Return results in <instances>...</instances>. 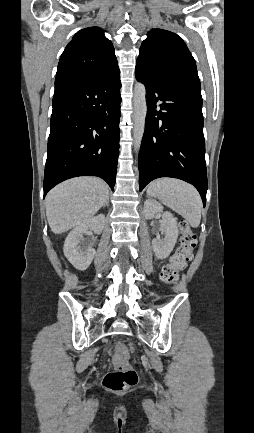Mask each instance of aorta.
Returning a JSON list of instances; mask_svg holds the SVG:
<instances>
[{"label": "aorta", "mask_w": 254, "mask_h": 433, "mask_svg": "<svg viewBox=\"0 0 254 433\" xmlns=\"http://www.w3.org/2000/svg\"><path fill=\"white\" fill-rule=\"evenodd\" d=\"M147 115L146 88L144 84L137 82L134 86L133 96V138L134 149L140 150L141 141L145 131V121Z\"/></svg>", "instance_id": "obj_1"}]
</instances>
